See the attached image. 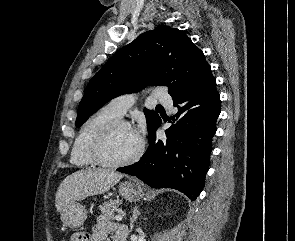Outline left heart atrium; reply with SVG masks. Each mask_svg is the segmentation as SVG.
I'll return each mask as SVG.
<instances>
[{
    "instance_id": "obj_1",
    "label": "left heart atrium",
    "mask_w": 295,
    "mask_h": 241,
    "mask_svg": "<svg viewBox=\"0 0 295 241\" xmlns=\"http://www.w3.org/2000/svg\"><path fill=\"white\" fill-rule=\"evenodd\" d=\"M135 135L139 138V131L138 130H133Z\"/></svg>"
}]
</instances>
